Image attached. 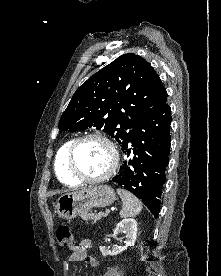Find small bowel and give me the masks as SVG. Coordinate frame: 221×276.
<instances>
[{"label":"small bowel","instance_id":"small-bowel-1","mask_svg":"<svg viewBox=\"0 0 221 276\" xmlns=\"http://www.w3.org/2000/svg\"><path fill=\"white\" fill-rule=\"evenodd\" d=\"M90 247V240H82L78 245L72 247V253L69 257V261L71 263L83 261L88 262L92 267L97 266L98 261L87 253V250Z\"/></svg>","mask_w":221,"mask_h":276}]
</instances>
